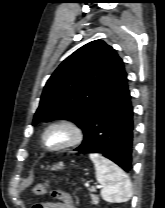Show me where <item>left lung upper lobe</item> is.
Wrapping results in <instances>:
<instances>
[{
	"mask_svg": "<svg viewBox=\"0 0 165 208\" xmlns=\"http://www.w3.org/2000/svg\"><path fill=\"white\" fill-rule=\"evenodd\" d=\"M123 70L122 59L104 41L95 40L82 46L47 81L33 125L66 119L84 131Z\"/></svg>",
	"mask_w": 165,
	"mask_h": 208,
	"instance_id": "1",
	"label": "left lung upper lobe"
}]
</instances>
